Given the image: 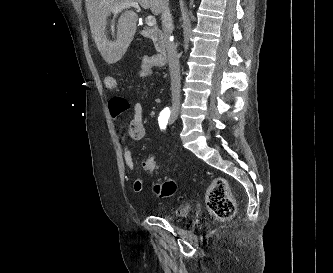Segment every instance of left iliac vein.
Returning a JSON list of instances; mask_svg holds the SVG:
<instances>
[{"label":"left iliac vein","mask_w":333,"mask_h":273,"mask_svg":"<svg viewBox=\"0 0 333 273\" xmlns=\"http://www.w3.org/2000/svg\"><path fill=\"white\" fill-rule=\"evenodd\" d=\"M174 122V120L173 119H170V123L172 124Z\"/></svg>","instance_id":"left-iliac-vein-1"}]
</instances>
